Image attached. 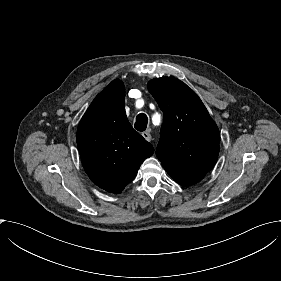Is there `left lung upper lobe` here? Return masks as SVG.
<instances>
[{
	"label": "left lung upper lobe",
	"mask_w": 281,
	"mask_h": 281,
	"mask_svg": "<svg viewBox=\"0 0 281 281\" xmlns=\"http://www.w3.org/2000/svg\"><path fill=\"white\" fill-rule=\"evenodd\" d=\"M148 89L163 111L156 149L163 167L186 174H206L217 161L220 133L200 98L172 77L153 79Z\"/></svg>",
	"instance_id": "5c2ea615"
}]
</instances>
